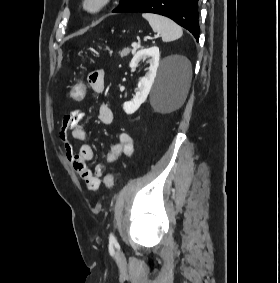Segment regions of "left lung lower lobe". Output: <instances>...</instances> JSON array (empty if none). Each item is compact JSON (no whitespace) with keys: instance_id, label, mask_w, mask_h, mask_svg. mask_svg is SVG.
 Masks as SVG:
<instances>
[{"instance_id":"left-lung-lower-lobe-1","label":"left lung lower lobe","mask_w":280,"mask_h":283,"mask_svg":"<svg viewBox=\"0 0 280 283\" xmlns=\"http://www.w3.org/2000/svg\"><path fill=\"white\" fill-rule=\"evenodd\" d=\"M198 0H137L123 12L156 13L174 20L189 30L198 41Z\"/></svg>"}]
</instances>
